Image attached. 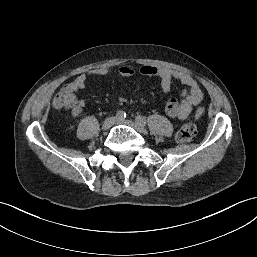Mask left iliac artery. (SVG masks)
<instances>
[{"label":"left iliac artery","instance_id":"1","mask_svg":"<svg viewBox=\"0 0 257 257\" xmlns=\"http://www.w3.org/2000/svg\"><path fill=\"white\" fill-rule=\"evenodd\" d=\"M135 120H136V122H138L142 126H145L147 124L146 119L144 117H142V116H136Z\"/></svg>","mask_w":257,"mask_h":257}]
</instances>
